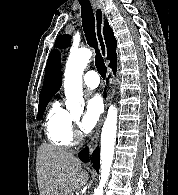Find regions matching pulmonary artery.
<instances>
[{"label": "pulmonary artery", "mask_w": 178, "mask_h": 195, "mask_svg": "<svg viewBox=\"0 0 178 195\" xmlns=\"http://www.w3.org/2000/svg\"><path fill=\"white\" fill-rule=\"evenodd\" d=\"M83 83L86 87L95 89L99 86L100 83L99 75L95 71H88L83 77Z\"/></svg>", "instance_id": "pulmonary-artery-1"}]
</instances>
